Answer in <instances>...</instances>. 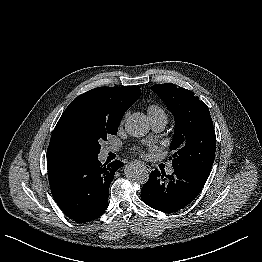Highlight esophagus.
<instances>
[{
	"mask_svg": "<svg viewBox=\"0 0 262 262\" xmlns=\"http://www.w3.org/2000/svg\"><path fill=\"white\" fill-rule=\"evenodd\" d=\"M142 166H143V168L145 169V170H147V171H150L151 170V167L148 165V164H146V163H144V162H139Z\"/></svg>",
	"mask_w": 262,
	"mask_h": 262,
	"instance_id": "esophagus-1",
	"label": "esophagus"
}]
</instances>
